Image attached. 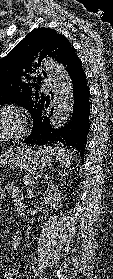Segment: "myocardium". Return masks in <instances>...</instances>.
I'll return each mask as SVG.
<instances>
[{
  "label": "myocardium",
  "instance_id": "f54148a6",
  "mask_svg": "<svg viewBox=\"0 0 113 279\" xmlns=\"http://www.w3.org/2000/svg\"><path fill=\"white\" fill-rule=\"evenodd\" d=\"M4 113L13 114L17 119V128L12 132L0 136V142L11 141L21 138L27 131V118L24 110L14 104H3L0 106V115Z\"/></svg>",
  "mask_w": 113,
  "mask_h": 279
}]
</instances>
